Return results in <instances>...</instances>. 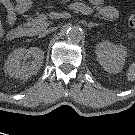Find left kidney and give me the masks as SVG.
Listing matches in <instances>:
<instances>
[{
  "label": "left kidney",
  "mask_w": 135,
  "mask_h": 135,
  "mask_svg": "<svg viewBox=\"0 0 135 135\" xmlns=\"http://www.w3.org/2000/svg\"><path fill=\"white\" fill-rule=\"evenodd\" d=\"M96 55L99 64L105 71L119 73L124 66L127 49L123 45L103 41L96 46Z\"/></svg>",
  "instance_id": "5707ae66"
}]
</instances>
